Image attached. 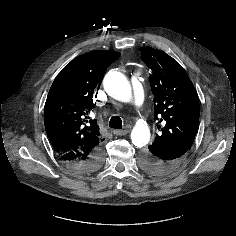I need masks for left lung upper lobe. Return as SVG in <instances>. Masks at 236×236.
Segmentation results:
<instances>
[{
	"instance_id": "5c2ea615",
	"label": "left lung upper lobe",
	"mask_w": 236,
	"mask_h": 236,
	"mask_svg": "<svg viewBox=\"0 0 236 236\" xmlns=\"http://www.w3.org/2000/svg\"><path fill=\"white\" fill-rule=\"evenodd\" d=\"M142 60L152 70L155 121L160 131L150 148L189 150L199 122L197 92L181 65L161 50L141 48Z\"/></svg>"
}]
</instances>
